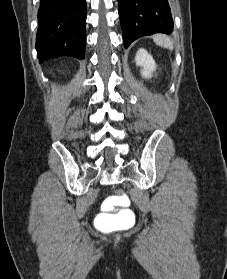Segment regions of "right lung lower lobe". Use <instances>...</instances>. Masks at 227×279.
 I'll use <instances>...</instances> for the list:
<instances>
[{
  "label": "right lung lower lobe",
  "mask_w": 227,
  "mask_h": 279,
  "mask_svg": "<svg viewBox=\"0 0 227 279\" xmlns=\"http://www.w3.org/2000/svg\"><path fill=\"white\" fill-rule=\"evenodd\" d=\"M86 0H40L36 50L39 62L72 56L83 59Z\"/></svg>",
  "instance_id": "right-lung-lower-lobe-1"
}]
</instances>
